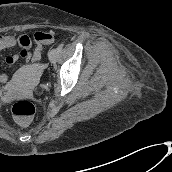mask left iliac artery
Segmentation results:
<instances>
[{
	"mask_svg": "<svg viewBox=\"0 0 172 172\" xmlns=\"http://www.w3.org/2000/svg\"><path fill=\"white\" fill-rule=\"evenodd\" d=\"M63 48V44H60L58 47H57V51L60 52Z\"/></svg>",
	"mask_w": 172,
	"mask_h": 172,
	"instance_id": "obj_1",
	"label": "left iliac artery"
}]
</instances>
